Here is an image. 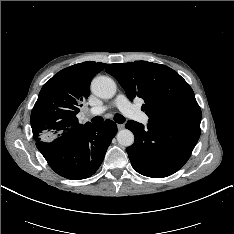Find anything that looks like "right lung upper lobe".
<instances>
[{"label": "right lung upper lobe", "mask_w": 234, "mask_h": 234, "mask_svg": "<svg viewBox=\"0 0 234 234\" xmlns=\"http://www.w3.org/2000/svg\"><path fill=\"white\" fill-rule=\"evenodd\" d=\"M106 65L93 61L72 65L45 83L31 112V127L36 142L48 141L91 124H80L76 115L81 102L90 94L93 77Z\"/></svg>", "instance_id": "obj_1"}]
</instances>
